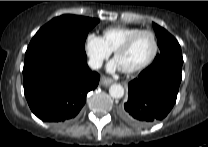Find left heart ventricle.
<instances>
[{
    "label": "left heart ventricle",
    "mask_w": 208,
    "mask_h": 147,
    "mask_svg": "<svg viewBox=\"0 0 208 147\" xmlns=\"http://www.w3.org/2000/svg\"><path fill=\"white\" fill-rule=\"evenodd\" d=\"M154 41L149 34L140 35L131 47L117 57L120 67L130 68L143 64L152 55Z\"/></svg>",
    "instance_id": "1"
}]
</instances>
